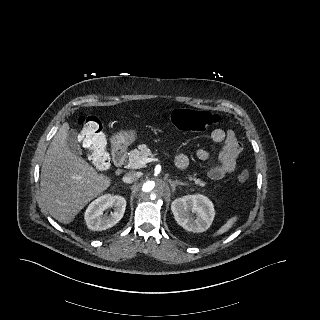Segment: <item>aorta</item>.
Returning a JSON list of instances; mask_svg holds the SVG:
<instances>
[{
	"label": "aorta",
	"instance_id": "1",
	"mask_svg": "<svg viewBox=\"0 0 320 320\" xmlns=\"http://www.w3.org/2000/svg\"><path fill=\"white\" fill-rule=\"evenodd\" d=\"M166 189V183L160 178H151L141 185L142 197L147 202H154L162 196V191Z\"/></svg>",
	"mask_w": 320,
	"mask_h": 320
}]
</instances>
